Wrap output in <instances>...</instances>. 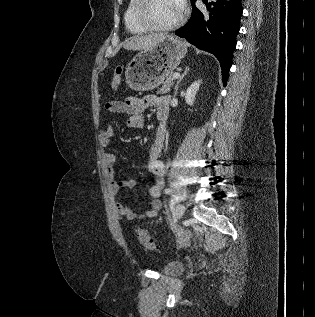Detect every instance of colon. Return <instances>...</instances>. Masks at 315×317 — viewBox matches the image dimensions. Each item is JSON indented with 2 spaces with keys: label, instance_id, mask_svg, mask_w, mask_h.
I'll use <instances>...</instances> for the list:
<instances>
[{
  "label": "colon",
  "instance_id": "5ec220e1",
  "mask_svg": "<svg viewBox=\"0 0 315 317\" xmlns=\"http://www.w3.org/2000/svg\"><path fill=\"white\" fill-rule=\"evenodd\" d=\"M121 76H122V68L117 67L113 75L112 83H111L113 89H116L119 86L121 82ZM137 237L139 242L142 244L144 248L148 250H152V251L157 249L155 241L145 230H142V229L138 230Z\"/></svg>",
  "mask_w": 315,
  "mask_h": 317
}]
</instances>
